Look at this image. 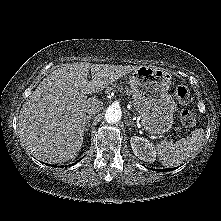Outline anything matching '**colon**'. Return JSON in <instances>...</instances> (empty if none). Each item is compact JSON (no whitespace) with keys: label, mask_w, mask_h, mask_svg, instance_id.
Segmentation results:
<instances>
[{"label":"colon","mask_w":221,"mask_h":221,"mask_svg":"<svg viewBox=\"0 0 221 221\" xmlns=\"http://www.w3.org/2000/svg\"><path fill=\"white\" fill-rule=\"evenodd\" d=\"M175 97L179 103L187 105L191 102L192 96L189 88L186 85L180 84L175 88L174 91ZM181 121L186 127H193L196 124V118L194 114L185 109L181 112Z\"/></svg>","instance_id":"colon-1"}]
</instances>
